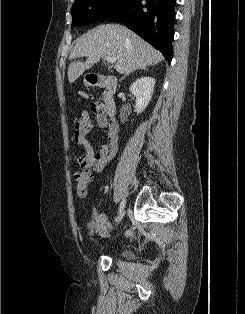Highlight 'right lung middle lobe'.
<instances>
[{
	"mask_svg": "<svg viewBox=\"0 0 245 314\" xmlns=\"http://www.w3.org/2000/svg\"><path fill=\"white\" fill-rule=\"evenodd\" d=\"M130 0H77L71 10L72 28L106 19Z\"/></svg>",
	"mask_w": 245,
	"mask_h": 314,
	"instance_id": "obj_1",
	"label": "right lung middle lobe"
}]
</instances>
